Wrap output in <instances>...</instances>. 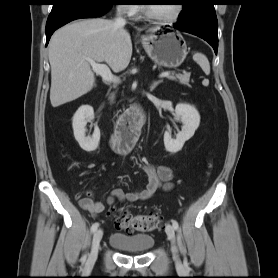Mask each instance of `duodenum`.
Returning a JSON list of instances; mask_svg holds the SVG:
<instances>
[{"instance_id":"duodenum-1","label":"duodenum","mask_w":278,"mask_h":278,"mask_svg":"<svg viewBox=\"0 0 278 278\" xmlns=\"http://www.w3.org/2000/svg\"><path fill=\"white\" fill-rule=\"evenodd\" d=\"M145 122L146 116L140 107H134L125 112L112 135L113 149L120 154L125 153L127 146L137 141Z\"/></svg>"}]
</instances>
